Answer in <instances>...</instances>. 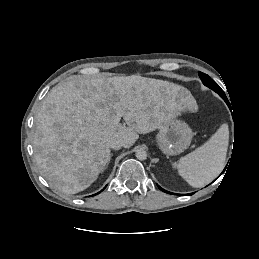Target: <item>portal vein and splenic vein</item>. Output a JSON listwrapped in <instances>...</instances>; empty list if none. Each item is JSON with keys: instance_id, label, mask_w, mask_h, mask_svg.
Returning a JSON list of instances; mask_svg holds the SVG:
<instances>
[{"instance_id": "portal-vein-and-splenic-vein-1", "label": "portal vein and splenic vein", "mask_w": 259, "mask_h": 259, "mask_svg": "<svg viewBox=\"0 0 259 259\" xmlns=\"http://www.w3.org/2000/svg\"><path fill=\"white\" fill-rule=\"evenodd\" d=\"M121 117H122L121 113L117 114V116L115 117V122L118 123L120 121Z\"/></svg>"}]
</instances>
